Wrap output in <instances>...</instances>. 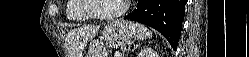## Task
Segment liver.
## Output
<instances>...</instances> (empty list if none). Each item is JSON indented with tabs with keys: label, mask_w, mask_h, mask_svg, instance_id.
Instances as JSON below:
<instances>
[{
	"label": "liver",
	"mask_w": 249,
	"mask_h": 57,
	"mask_svg": "<svg viewBox=\"0 0 249 57\" xmlns=\"http://www.w3.org/2000/svg\"><path fill=\"white\" fill-rule=\"evenodd\" d=\"M99 31V27L76 28L69 34V50L73 52L74 57H82V51L87 42L92 40Z\"/></svg>",
	"instance_id": "6515ba94"
}]
</instances>
